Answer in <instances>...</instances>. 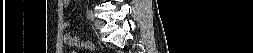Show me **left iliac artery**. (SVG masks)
Segmentation results:
<instances>
[{"label":"left iliac artery","instance_id":"1","mask_svg":"<svg viewBox=\"0 0 253 53\" xmlns=\"http://www.w3.org/2000/svg\"><path fill=\"white\" fill-rule=\"evenodd\" d=\"M88 18H89L91 21H93L94 18H95L93 11L90 10V9L88 10Z\"/></svg>","mask_w":253,"mask_h":53}]
</instances>
